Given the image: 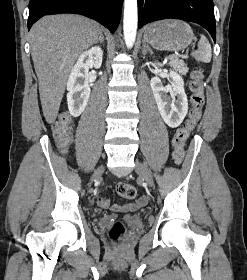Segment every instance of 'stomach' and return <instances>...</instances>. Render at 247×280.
Instances as JSON below:
<instances>
[{
    "label": "stomach",
    "instance_id": "obj_1",
    "mask_svg": "<svg viewBox=\"0 0 247 280\" xmlns=\"http://www.w3.org/2000/svg\"><path fill=\"white\" fill-rule=\"evenodd\" d=\"M194 39L191 27L182 20L157 21L148 25L144 30V40L161 51L185 49Z\"/></svg>",
    "mask_w": 247,
    "mask_h": 280
}]
</instances>
